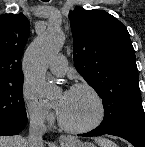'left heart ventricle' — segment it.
<instances>
[{"instance_id":"left-heart-ventricle-1","label":"left heart ventricle","mask_w":145,"mask_h":147,"mask_svg":"<svg viewBox=\"0 0 145 147\" xmlns=\"http://www.w3.org/2000/svg\"><path fill=\"white\" fill-rule=\"evenodd\" d=\"M63 101V95L56 99L57 107ZM98 113L93 96L86 90H70L64 100L60 115L69 125L82 126L92 122Z\"/></svg>"}]
</instances>
